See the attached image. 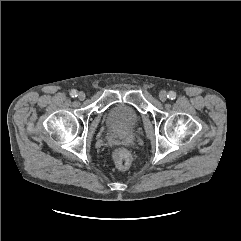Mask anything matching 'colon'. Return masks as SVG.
I'll list each match as a JSON object with an SVG mask.
<instances>
[{
	"label": "colon",
	"instance_id": "colon-1",
	"mask_svg": "<svg viewBox=\"0 0 241 241\" xmlns=\"http://www.w3.org/2000/svg\"><path fill=\"white\" fill-rule=\"evenodd\" d=\"M112 158L116 167L121 170L128 168L131 162L130 153L122 148L115 149L112 153Z\"/></svg>",
	"mask_w": 241,
	"mask_h": 241
}]
</instances>
